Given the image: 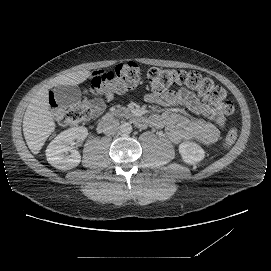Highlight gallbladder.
<instances>
[{"instance_id":"1","label":"gallbladder","mask_w":271,"mask_h":271,"mask_svg":"<svg viewBox=\"0 0 271 271\" xmlns=\"http://www.w3.org/2000/svg\"><path fill=\"white\" fill-rule=\"evenodd\" d=\"M54 91L58 93L57 100L60 106L68 111L76 109L81 101L79 92L71 88L70 85H58L54 87Z\"/></svg>"}]
</instances>
